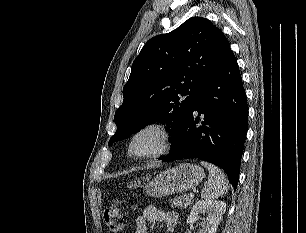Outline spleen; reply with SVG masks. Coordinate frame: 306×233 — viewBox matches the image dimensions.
<instances>
[{
    "mask_svg": "<svg viewBox=\"0 0 306 233\" xmlns=\"http://www.w3.org/2000/svg\"><path fill=\"white\" fill-rule=\"evenodd\" d=\"M201 165L209 171L206 184L201 192V197L206 201H213L228 192V183L225 174L213 164L201 161Z\"/></svg>",
    "mask_w": 306,
    "mask_h": 233,
    "instance_id": "spleen-1",
    "label": "spleen"
}]
</instances>
